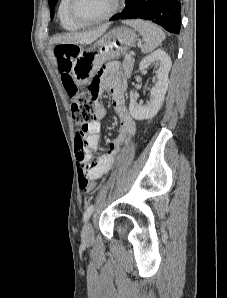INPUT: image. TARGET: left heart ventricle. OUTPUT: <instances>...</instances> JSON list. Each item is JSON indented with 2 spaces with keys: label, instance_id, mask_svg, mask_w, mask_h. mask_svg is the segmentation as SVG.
I'll use <instances>...</instances> for the list:
<instances>
[{
  "label": "left heart ventricle",
  "instance_id": "b2bd125f",
  "mask_svg": "<svg viewBox=\"0 0 227 298\" xmlns=\"http://www.w3.org/2000/svg\"><path fill=\"white\" fill-rule=\"evenodd\" d=\"M113 0H75L74 12L84 20H94L105 15L112 7Z\"/></svg>",
  "mask_w": 227,
  "mask_h": 298
}]
</instances>
